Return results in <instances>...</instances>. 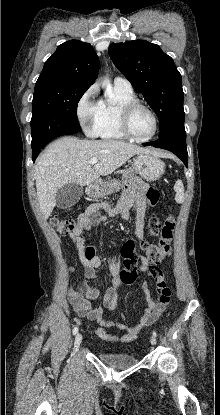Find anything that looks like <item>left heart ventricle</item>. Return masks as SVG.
<instances>
[{"label":"left heart ventricle","mask_w":220,"mask_h":415,"mask_svg":"<svg viewBox=\"0 0 220 415\" xmlns=\"http://www.w3.org/2000/svg\"><path fill=\"white\" fill-rule=\"evenodd\" d=\"M129 128L131 133L138 138L149 136L154 129L152 116L143 108H136L130 115Z\"/></svg>","instance_id":"left-heart-ventricle-1"}]
</instances>
